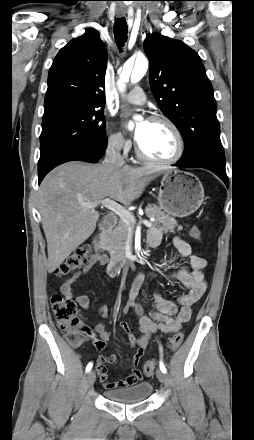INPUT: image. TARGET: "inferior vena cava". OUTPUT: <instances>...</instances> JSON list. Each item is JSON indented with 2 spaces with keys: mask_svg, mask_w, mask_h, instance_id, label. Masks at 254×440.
Here are the masks:
<instances>
[{
  "mask_svg": "<svg viewBox=\"0 0 254 440\" xmlns=\"http://www.w3.org/2000/svg\"><path fill=\"white\" fill-rule=\"evenodd\" d=\"M121 140H114L108 144L106 150L105 163L121 167L125 164L124 157L121 155Z\"/></svg>",
  "mask_w": 254,
  "mask_h": 440,
  "instance_id": "1",
  "label": "inferior vena cava"
}]
</instances>
